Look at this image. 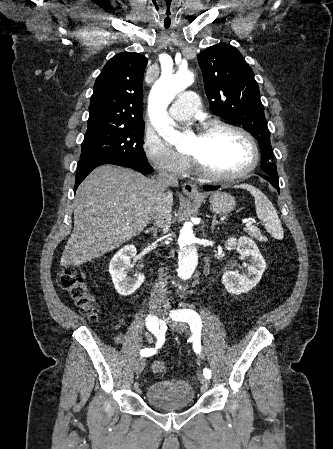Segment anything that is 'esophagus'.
Masks as SVG:
<instances>
[{
	"label": "esophagus",
	"mask_w": 333,
	"mask_h": 449,
	"mask_svg": "<svg viewBox=\"0 0 333 449\" xmlns=\"http://www.w3.org/2000/svg\"><path fill=\"white\" fill-rule=\"evenodd\" d=\"M183 191L186 195L190 197H198L200 196V193L198 192V188L195 184L192 183H184L183 185Z\"/></svg>",
	"instance_id": "obj_1"
}]
</instances>
